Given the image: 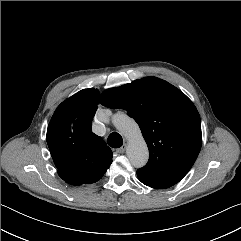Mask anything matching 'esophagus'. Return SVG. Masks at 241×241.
I'll return each instance as SVG.
<instances>
[{"mask_svg":"<svg viewBox=\"0 0 241 241\" xmlns=\"http://www.w3.org/2000/svg\"><path fill=\"white\" fill-rule=\"evenodd\" d=\"M126 144L124 143L122 147L116 150L117 153L122 154L125 152Z\"/></svg>","mask_w":241,"mask_h":241,"instance_id":"1","label":"esophagus"}]
</instances>
